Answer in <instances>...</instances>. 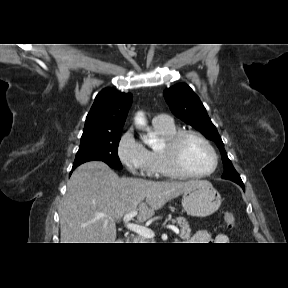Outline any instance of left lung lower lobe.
Returning <instances> with one entry per match:
<instances>
[{
    "label": "left lung lower lobe",
    "instance_id": "1",
    "mask_svg": "<svg viewBox=\"0 0 288 288\" xmlns=\"http://www.w3.org/2000/svg\"><path fill=\"white\" fill-rule=\"evenodd\" d=\"M240 185V184H239ZM242 188H243V190H244V184L243 185H240Z\"/></svg>",
    "mask_w": 288,
    "mask_h": 288
}]
</instances>
